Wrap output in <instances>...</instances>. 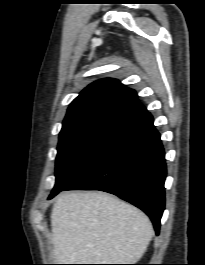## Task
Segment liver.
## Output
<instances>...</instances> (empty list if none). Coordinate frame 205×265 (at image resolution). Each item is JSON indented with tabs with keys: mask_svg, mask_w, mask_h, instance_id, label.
<instances>
[{
	"mask_svg": "<svg viewBox=\"0 0 205 265\" xmlns=\"http://www.w3.org/2000/svg\"><path fill=\"white\" fill-rule=\"evenodd\" d=\"M51 227L59 264H135L154 235L142 211L101 192L60 195Z\"/></svg>",
	"mask_w": 205,
	"mask_h": 265,
	"instance_id": "obj_1",
	"label": "liver"
}]
</instances>
